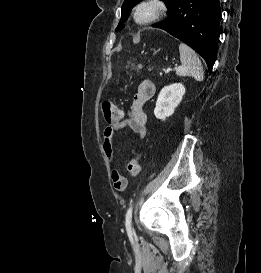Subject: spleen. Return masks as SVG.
I'll return each instance as SVG.
<instances>
[{
	"label": "spleen",
	"instance_id": "3e777b00",
	"mask_svg": "<svg viewBox=\"0 0 261 273\" xmlns=\"http://www.w3.org/2000/svg\"><path fill=\"white\" fill-rule=\"evenodd\" d=\"M179 51L182 65L176 69V74L193 77L199 82L203 81V67L195 51L185 43H180Z\"/></svg>",
	"mask_w": 261,
	"mask_h": 273
}]
</instances>
